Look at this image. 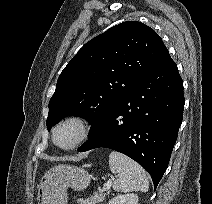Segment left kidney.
<instances>
[{
    "label": "left kidney",
    "instance_id": "obj_1",
    "mask_svg": "<svg viewBox=\"0 0 212 204\" xmlns=\"http://www.w3.org/2000/svg\"><path fill=\"white\" fill-rule=\"evenodd\" d=\"M108 204H138V196L134 193L117 195Z\"/></svg>",
    "mask_w": 212,
    "mask_h": 204
}]
</instances>
